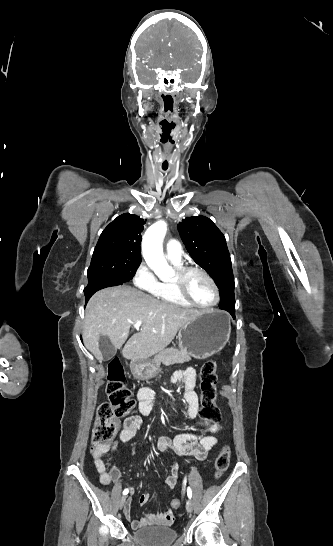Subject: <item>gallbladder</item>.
Returning a JSON list of instances; mask_svg holds the SVG:
<instances>
[{
  "mask_svg": "<svg viewBox=\"0 0 333 546\" xmlns=\"http://www.w3.org/2000/svg\"><path fill=\"white\" fill-rule=\"evenodd\" d=\"M99 349L102 354V360L107 362L115 357L117 349L111 344L107 336H101L99 339Z\"/></svg>",
  "mask_w": 333,
  "mask_h": 546,
  "instance_id": "gallbladder-1",
  "label": "gallbladder"
}]
</instances>
